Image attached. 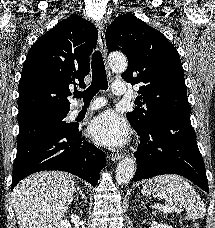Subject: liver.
I'll list each match as a JSON object with an SVG mask.
<instances>
[{
    "instance_id": "liver-1",
    "label": "liver",
    "mask_w": 215,
    "mask_h": 228,
    "mask_svg": "<svg viewBox=\"0 0 215 228\" xmlns=\"http://www.w3.org/2000/svg\"><path fill=\"white\" fill-rule=\"evenodd\" d=\"M74 192V178L67 172H38L21 180L12 192L19 228H58Z\"/></svg>"
}]
</instances>
